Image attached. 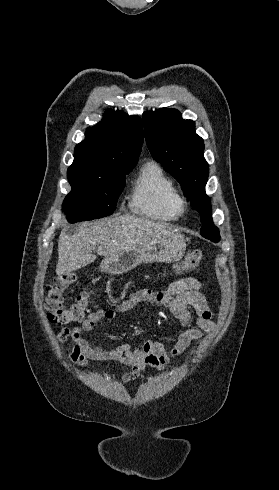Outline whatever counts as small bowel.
<instances>
[{
    "label": "small bowel",
    "instance_id": "obj_1",
    "mask_svg": "<svg viewBox=\"0 0 279 490\" xmlns=\"http://www.w3.org/2000/svg\"><path fill=\"white\" fill-rule=\"evenodd\" d=\"M202 287V282L195 278H183L172 283L167 291L138 290L115 309L95 310L88 314L80 326L59 330L55 340L58 344H63L68 339L75 342L69 356L70 362L87 368L90 367V360L114 362L129 369V372L122 376V381L131 382L149 366L164 368L171 359L182 354L190 345L202 339L204 333L213 329L211 311L205 295L201 292ZM143 302L169 308L183 325L184 328L179 332L170 351L165 349L162 342L152 339L135 348L128 343L104 348L91 343L85 337V332L92 330L99 321L113 320L119 313L130 311ZM191 310L196 314V327L190 326Z\"/></svg>",
    "mask_w": 279,
    "mask_h": 490
}]
</instances>
